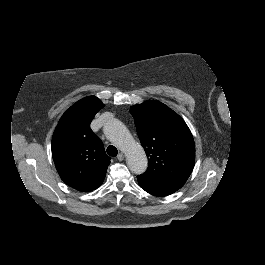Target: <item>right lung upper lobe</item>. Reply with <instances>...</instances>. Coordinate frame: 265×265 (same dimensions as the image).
Returning <instances> with one entry per match:
<instances>
[{
    "instance_id": "1",
    "label": "right lung upper lobe",
    "mask_w": 265,
    "mask_h": 265,
    "mask_svg": "<svg viewBox=\"0 0 265 265\" xmlns=\"http://www.w3.org/2000/svg\"><path fill=\"white\" fill-rule=\"evenodd\" d=\"M103 107L95 96L77 101L62 115L52 137V157L61 179L82 192L99 187L110 164L102 141L90 128Z\"/></svg>"
}]
</instances>
